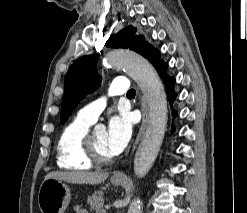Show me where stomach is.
Instances as JSON below:
<instances>
[{
  "label": "stomach",
  "mask_w": 247,
  "mask_h": 213,
  "mask_svg": "<svg viewBox=\"0 0 247 213\" xmlns=\"http://www.w3.org/2000/svg\"><path fill=\"white\" fill-rule=\"evenodd\" d=\"M115 186L122 184V179H111ZM70 189L62 181L50 178L45 179L38 193V205L41 213H64L70 202Z\"/></svg>",
  "instance_id": "0dacf381"
}]
</instances>
